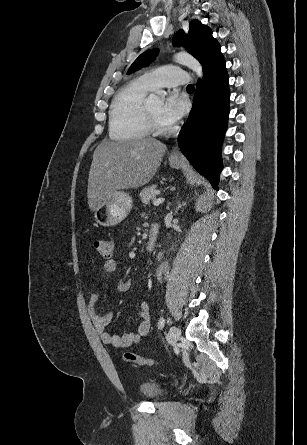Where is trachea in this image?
Masks as SVG:
<instances>
[{
    "mask_svg": "<svg viewBox=\"0 0 307 445\" xmlns=\"http://www.w3.org/2000/svg\"><path fill=\"white\" fill-rule=\"evenodd\" d=\"M187 89L194 90V86L190 84V85L187 86Z\"/></svg>",
    "mask_w": 307,
    "mask_h": 445,
    "instance_id": "1",
    "label": "trachea"
}]
</instances>
